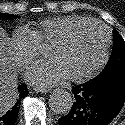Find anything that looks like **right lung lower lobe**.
I'll return each mask as SVG.
<instances>
[{"label": "right lung lower lobe", "mask_w": 125, "mask_h": 125, "mask_svg": "<svg viewBox=\"0 0 125 125\" xmlns=\"http://www.w3.org/2000/svg\"><path fill=\"white\" fill-rule=\"evenodd\" d=\"M29 93L26 84L18 86V94L20 98H24ZM18 100L10 108H8L3 114L0 115V125H15L19 113V104Z\"/></svg>", "instance_id": "obj_1"}]
</instances>
